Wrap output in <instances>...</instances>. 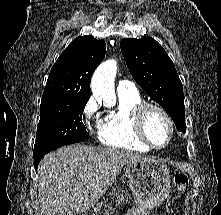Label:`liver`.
<instances>
[{
  "mask_svg": "<svg viewBox=\"0 0 221 215\" xmlns=\"http://www.w3.org/2000/svg\"><path fill=\"white\" fill-rule=\"evenodd\" d=\"M148 159L127 150L66 146L46 155L38 167L39 215L83 213L113 185L124 165Z\"/></svg>",
  "mask_w": 221,
  "mask_h": 215,
  "instance_id": "6515ba94",
  "label": "liver"
}]
</instances>
